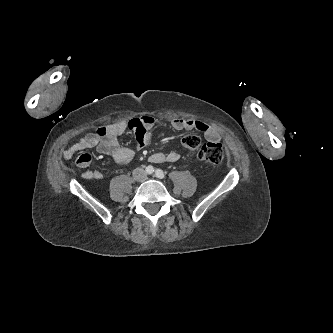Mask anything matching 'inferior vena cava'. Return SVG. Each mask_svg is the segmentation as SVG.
<instances>
[{
	"label": "inferior vena cava",
	"instance_id": "1",
	"mask_svg": "<svg viewBox=\"0 0 333 333\" xmlns=\"http://www.w3.org/2000/svg\"><path fill=\"white\" fill-rule=\"evenodd\" d=\"M132 175L137 181H144L147 178V173L143 168H135Z\"/></svg>",
	"mask_w": 333,
	"mask_h": 333
}]
</instances>
